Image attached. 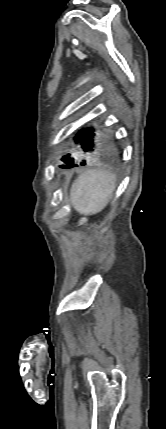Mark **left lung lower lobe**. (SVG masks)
<instances>
[{
  "label": "left lung lower lobe",
  "instance_id": "left-lung-lower-lobe-1",
  "mask_svg": "<svg viewBox=\"0 0 166 429\" xmlns=\"http://www.w3.org/2000/svg\"><path fill=\"white\" fill-rule=\"evenodd\" d=\"M95 136L94 129L92 128H84L78 132V134L74 137L75 143L81 144L83 150L93 151V137ZM65 164L60 165V168L69 169L73 167H77L78 165L75 163L73 157L70 154L64 155L61 159ZM85 161L81 162L80 165H85Z\"/></svg>",
  "mask_w": 166,
  "mask_h": 429
}]
</instances>
